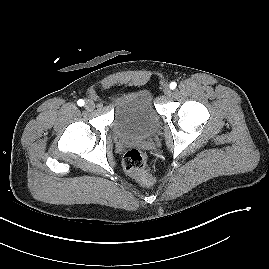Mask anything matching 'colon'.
Masks as SVG:
<instances>
[{
    "label": "colon",
    "instance_id": "1",
    "mask_svg": "<svg viewBox=\"0 0 269 269\" xmlns=\"http://www.w3.org/2000/svg\"><path fill=\"white\" fill-rule=\"evenodd\" d=\"M146 163L147 156L139 149L128 150L123 158V166L131 176L145 184H150L152 180L144 171Z\"/></svg>",
    "mask_w": 269,
    "mask_h": 269
}]
</instances>
